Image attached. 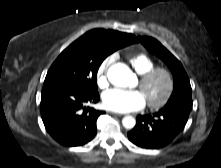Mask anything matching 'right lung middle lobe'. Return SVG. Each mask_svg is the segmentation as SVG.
I'll return each mask as SVG.
<instances>
[{"mask_svg":"<svg viewBox=\"0 0 221 168\" xmlns=\"http://www.w3.org/2000/svg\"><path fill=\"white\" fill-rule=\"evenodd\" d=\"M124 46L86 33L58 56L50 67L44 84H65L96 93L99 66L108 55Z\"/></svg>","mask_w":221,"mask_h":168,"instance_id":"1","label":"right lung middle lobe"}]
</instances>
